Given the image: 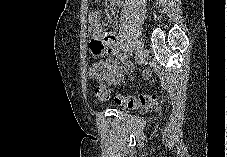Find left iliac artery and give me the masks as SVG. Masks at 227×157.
Listing matches in <instances>:
<instances>
[{
	"mask_svg": "<svg viewBox=\"0 0 227 157\" xmlns=\"http://www.w3.org/2000/svg\"><path fill=\"white\" fill-rule=\"evenodd\" d=\"M141 39H136V43L134 44L135 54H138L141 49Z\"/></svg>",
	"mask_w": 227,
	"mask_h": 157,
	"instance_id": "44dca946",
	"label": "left iliac artery"
}]
</instances>
